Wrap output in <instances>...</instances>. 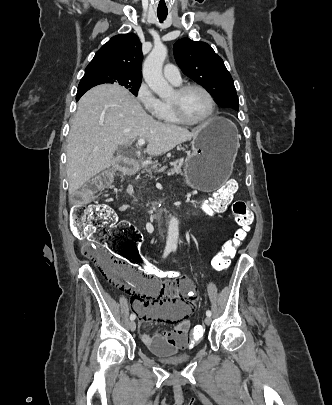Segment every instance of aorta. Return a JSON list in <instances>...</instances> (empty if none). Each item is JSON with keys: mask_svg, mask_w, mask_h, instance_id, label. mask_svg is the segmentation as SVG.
<instances>
[{"mask_svg": "<svg viewBox=\"0 0 332 405\" xmlns=\"http://www.w3.org/2000/svg\"><path fill=\"white\" fill-rule=\"evenodd\" d=\"M166 56L167 47L163 44H156L143 64L144 80L150 89L161 98L166 97L171 90V86L167 83L162 74V67ZM178 236V220L172 217L168 226L167 245L176 247Z\"/></svg>", "mask_w": 332, "mask_h": 405, "instance_id": "1", "label": "aorta"}]
</instances>
